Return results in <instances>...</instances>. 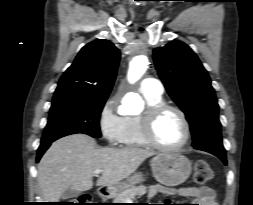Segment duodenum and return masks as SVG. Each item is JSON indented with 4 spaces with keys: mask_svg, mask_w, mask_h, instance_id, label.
<instances>
[{
    "mask_svg": "<svg viewBox=\"0 0 253 205\" xmlns=\"http://www.w3.org/2000/svg\"><path fill=\"white\" fill-rule=\"evenodd\" d=\"M99 194H100L102 197H106V196L109 195V191H108L107 188H101V189L99 190Z\"/></svg>",
    "mask_w": 253,
    "mask_h": 205,
    "instance_id": "duodenum-1",
    "label": "duodenum"
}]
</instances>
